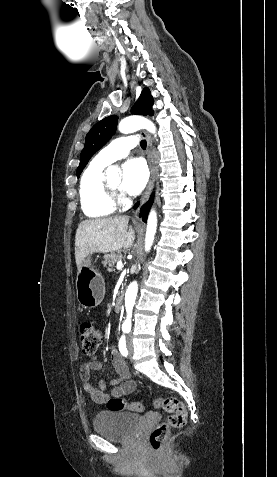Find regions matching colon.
<instances>
[{
    "mask_svg": "<svg viewBox=\"0 0 277 477\" xmlns=\"http://www.w3.org/2000/svg\"><path fill=\"white\" fill-rule=\"evenodd\" d=\"M101 332L89 321L80 326V341L84 354L92 355L101 342ZM156 408H162L168 413L167 420L158 424L151 432L149 443L153 450L159 451L171 428H180L186 423V410L183 403L176 397L158 398L154 401ZM108 408L112 411L133 410L142 411L143 406L138 402H128L123 398L114 397L109 400Z\"/></svg>",
    "mask_w": 277,
    "mask_h": 477,
    "instance_id": "colon-1",
    "label": "colon"
}]
</instances>
